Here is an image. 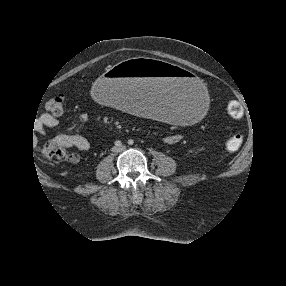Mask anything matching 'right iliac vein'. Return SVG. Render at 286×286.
Listing matches in <instances>:
<instances>
[{
    "label": "right iliac vein",
    "instance_id": "obj_1",
    "mask_svg": "<svg viewBox=\"0 0 286 286\" xmlns=\"http://www.w3.org/2000/svg\"><path fill=\"white\" fill-rule=\"evenodd\" d=\"M113 151H114V152H117V151H118V149H117L116 147H114V148H113Z\"/></svg>",
    "mask_w": 286,
    "mask_h": 286
}]
</instances>
